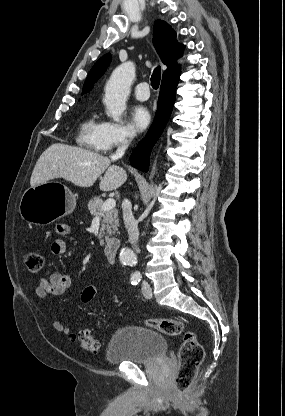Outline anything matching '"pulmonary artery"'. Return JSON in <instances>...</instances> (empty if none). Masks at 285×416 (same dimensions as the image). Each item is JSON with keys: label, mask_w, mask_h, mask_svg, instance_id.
<instances>
[{"label": "pulmonary artery", "mask_w": 285, "mask_h": 416, "mask_svg": "<svg viewBox=\"0 0 285 416\" xmlns=\"http://www.w3.org/2000/svg\"><path fill=\"white\" fill-rule=\"evenodd\" d=\"M147 86V82H141L134 86L133 90L135 93V97L138 100H147L149 98L148 89L146 88Z\"/></svg>", "instance_id": "pulmonary-artery-1"}]
</instances>
